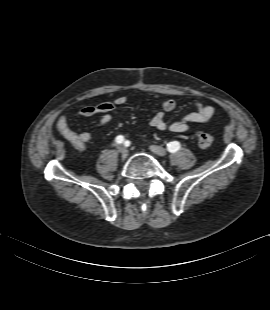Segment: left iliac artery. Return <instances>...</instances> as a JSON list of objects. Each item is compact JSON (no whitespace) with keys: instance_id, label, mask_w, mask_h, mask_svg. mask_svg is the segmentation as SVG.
Instances as JSON below:
<instances>
[{"instance_id":"44dca946","label":"left iliac artery","mask_w":270,"mask_h":310,"mask_svg":"<svg viewBox=\"0 0 270 310\" xmlns=\"http://www.w3.org/2000/svg\"><path fill=\"white\" fill-rule=\"evenodd\" d=\"M167 149L169 152L174 153L180 149V143L177 141L170 142L167 144Z\"/></svg>"}]
</instances>
